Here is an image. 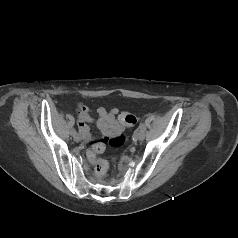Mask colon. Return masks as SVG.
<instances>
[{
  "mask_svg": "<svg viewBox=\"0 0 238 238\" xmlns=\"http://www.w3.org/2000/svg\"><path fill=\"white\" fill-rule=\"evenodd\" d=\"M117 119L120 124L129 126V127L133 126L136 123V117L125 111L121 112L118 115ZM123 140H124L123 136H120L118 138L108 140V142L112 146H119L122 144ZM104 149H105V142H101L98 145L94 146L88 152V158L90 161H92L95 164L94 171L98 177L104 176L109 168V164L106 160L98 158V155L101 154L104 151Z\"/></svg>",
  "mask_w": 238,
  "mask_h": 238,
  "instance_id": "colon-1",
  "label": "colon"
}]
</instances>
